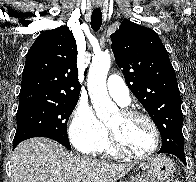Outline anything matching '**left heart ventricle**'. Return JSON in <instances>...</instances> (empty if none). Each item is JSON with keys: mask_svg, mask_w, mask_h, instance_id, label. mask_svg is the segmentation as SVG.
Returning a JSON list of instances; mask_svg holds the SVG:
<instances>
[{"mask_svg": "<svg viewBox=\"0 0 196 182\" xmlns=\"http://www.w3.org/2000/svg\"><path fill=\"white\" fill-rule=\"evenodd\" d=\"M107 125L116 133L122 145L132 153L144 154L154 144L152 128L142 118H127L118 112Z\"/></svg>", "mask_w": 196, "mask_h": 182, "instance_id": "left-heart-ventricle-1", "label": "left heart ventricle"}]
</instances>
